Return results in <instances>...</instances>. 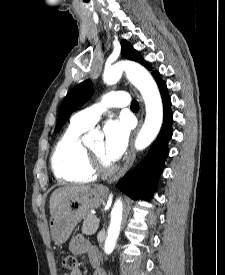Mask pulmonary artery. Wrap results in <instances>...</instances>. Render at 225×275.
Here are the masks:
<instances>
[{"mask_svg": "<svg viewBox=\"0 0 225 275\" xmlns=\"http://www.w3.org/2000/svg\"><path fill=\"white\" fill-rule=\"evenodd\" d=\"M130 104L129 94L126 92L111 91L104 95L103 99L90 108L77 112L72 117V123L86 128L92 127L101 114L111 107H125Z\"/></svg>", "mask_w": 225, "mask_h": 275, "instance_id": "e3ab8cb5", "label": "pulmonary artery"}]
</instances>
